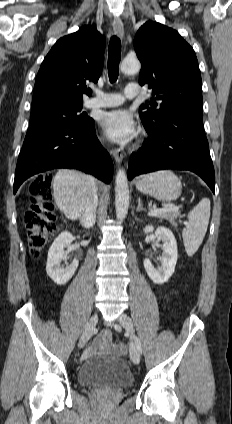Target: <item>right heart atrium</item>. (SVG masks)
<instances>
[{"label":"right heart atrium","instance_id":"obj_1","mask_svg":"<svg viewBox=\"0 0 232 424\" xmlns=\"http://www.w3.org/2000/svg\"><path fill=\"white\" fill-rule=\"evenodd\" d=\"M104 143L103 139L100 138V144L102 145Z\"/></svg>","mask_w":232,"mask_h":424}]
</instances>
